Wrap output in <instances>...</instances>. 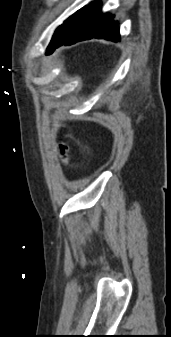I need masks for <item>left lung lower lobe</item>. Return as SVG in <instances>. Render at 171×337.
Returning <instances> with one entry per match:
<instances>
[{
	"label": "left lung lower lobe",
	"instance_id": "obj_1",
	"mask_svg": "<svg viewBox=\"0 0 171 337\" xmlns=\"http://www.w3.org/2000/svg\"><path fill=\"white\" fill-rule=\"evenodd\" d=\"M91 38L120 41L119 22L114 20V15L102 12L100 2H93L84 7L83 13L72 32L61 40L56 48Z\"/></svg>",
	"mask_w": 171,
	"mask_h": 337
}]
</instances>
